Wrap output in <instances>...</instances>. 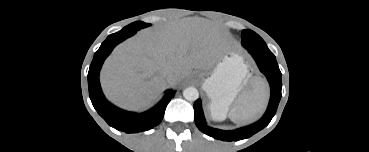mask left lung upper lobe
I'll return each mask as SVG.
<instances>
[{
    "label": "left lung upper lobe",
    "mask_w": 369,
    "mask_h": 152,
    "mask_svg": "<svg viewBox=\"0 0 369 152\" xmlns=\"http://www.w3.org/2000/svg\"><path fill=\"white\" fill-rule=\"evenodd\" d=\"M242 45L250 53L256 52L261 55L274 56L264 40L252 30L246 29L242 31Z\"/></svg>",
    "instance_id": "5c2ea615"
}]
</instances>
